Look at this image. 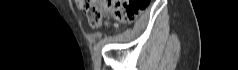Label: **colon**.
<instances>
[{"instance_id":"5ec220e1","label":"colon","mask_w":238,"mask_h":70,"mask_svg":"<svg viewBox=\"0 0 238 70\" xmlns=\"http://www.w3.org/2000/svg\"><path fill=\"white\" fill-rule=\"evenodd\" d=\"M91 27H99L105 15L121 21L134 20L144 9L145 0H76Z\"/></svg>"}]
</instances>
